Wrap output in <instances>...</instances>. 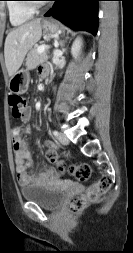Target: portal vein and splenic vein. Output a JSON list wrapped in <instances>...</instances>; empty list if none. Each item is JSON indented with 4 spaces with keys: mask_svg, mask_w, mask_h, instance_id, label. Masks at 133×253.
Returning <instances> with one entry per match:
<instances>
[{
    "mask_svg": "<svg viewBox=\"0 0 133 253\" xmlns=\"http://www.w3.org/2000/svg\"><path fill=\"white\" fill-rule=\"evenodd\" d=\"M50 47L48 45H41L37 48V52L39 54L43 53L44 51L48 50Z\"/></svg>",
    "mask_w": 133,
    "mask_h": 253,
    "instance_id": "obj_1",
    "label": "portal vein and splenic vein"
}]
</instances>
